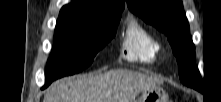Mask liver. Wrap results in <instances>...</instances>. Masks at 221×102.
<instances>
[{"instance_id":"1","label":"liver","mask_w":221,"mask_h":102,"mask_svg":"<svg viewBox=\"0 0 221 102\" xmlns=\"http://www.w3.org/2000/svg\"><path fill=\"white\" fill-rule=\"evenodd\" d=\"M161 81L130 71L110 70L104 74L65 78L47 90L43 102H132L144 90Z\"/></svg>"}]
</instances>
